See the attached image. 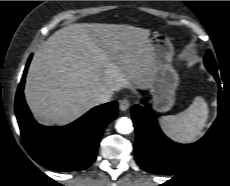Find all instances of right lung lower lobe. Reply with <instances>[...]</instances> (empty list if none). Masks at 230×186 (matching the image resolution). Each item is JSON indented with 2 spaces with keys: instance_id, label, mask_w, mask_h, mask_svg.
<instances>
[{
  "instance_id": "1",
  "label": "right lung lower lobe",
  "mask_w": 230,
  "mask_h": 186,
  "mask_svg": "<svg viewBox=\"0 0 230 186\" xmlns=\"http://www.w3.org/2000/svg\"><path fill=\"white\" fill-rule=\"evenodd\" d=\"M26 64L15 100V112L24 146L40 165L58 171H76L89 167L96 158L105 127L117 117L116 101L97 106L78 120L63 127H46L32 117L24 99Z\"/></svg>"
}]
</instances>
